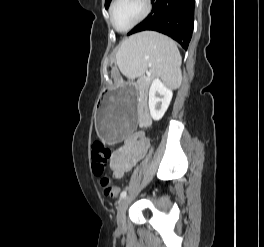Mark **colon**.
I'll use <instances>...</instances> for the list:
<instances>
[{
  "mask_svg": "<svg viewBox=\"0 0 264 247\" xmlns=\"http://www.w3.org/2000/svg\"><path fill=\"white\" fill-rule=\"evenodd\" d=\"M110 157L111 151L103 143L96 142L93 144L91 150L92 170L96 176H102ZM100 187L106 197H116L119 193V188L106 176L100 179Z\"/></svg>",
  "mask_w": 264,
  "mask_h": 247,
  "instance_id": "obj_1",
  "label": "colon"
}]
</instances>
